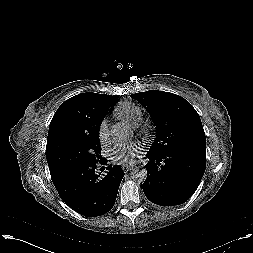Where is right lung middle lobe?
I'll use <instances>...</instances> for the list:
<instances>
[{"label":"right lung middle lobe","instance_id":"right-lung-middle-lobe-1","mask_svg":"<svg viewBox=\"0 0 253 253\" xmlns=\"http://www.w3.org/2000/svg\"><path fill=\"white\" fill-rule=\"evenodd\" d=\"M50 174L101 160L99 129L91 133L66 134L46 149Z\"/></svg>","mask_w":253,"mask_h":253}]
</instances>
